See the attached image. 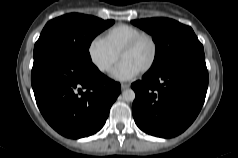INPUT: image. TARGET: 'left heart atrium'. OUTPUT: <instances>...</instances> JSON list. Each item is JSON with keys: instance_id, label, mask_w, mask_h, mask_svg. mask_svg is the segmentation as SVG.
<instances>
[{"instance_id": "left-heart-atrium-1", "label": "left heart atrium", "mask_w": 238, "mask_h": 158, "mask_svg": "<svg viewBox=\"0 0 238 158\" xmlns=\"http://www.w3.org/2000/svg\"><path fill=\"white\" fill-rule=\"evenodd\" d=\"M139 69L126 61H121L120 64L114 69L112 75L119 80H128L135 77L139 73Z\"/></svg>"}]
</instances>
